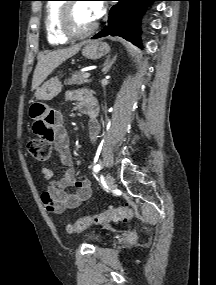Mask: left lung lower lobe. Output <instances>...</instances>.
Masks as SVG:
<instances>
[{
  "label": "left lung lower lobe",
  "instance_id": "1",
  "mask_svg": "<svg viewBox=\"0 0 216 285\" xmlns=\"http://www.w3.org/2000/svg\"><path fill=\"white\" fill-rule=\"evenodd\" d=\"M109 13L108 24L92 39L104 36H120L141 47L139 38L140 18L146 6L159 0H116Z\"/></svg>",
  "mask_w": 216,
  "mask_h": 285
}]
</instances>
